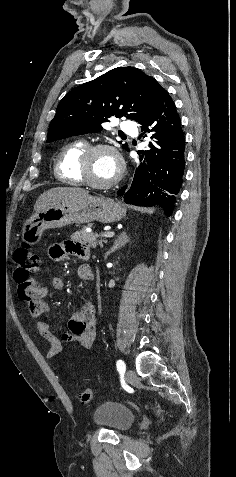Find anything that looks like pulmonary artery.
<instances>
[{"label":"pulmonary artery","mask_w":236,"mask_h":477,"mask_svg":"<svg viewBox=\"0 0 236 477\" xmlns=\"http://www.w3.org/2000/svg\"><path fill=\"white\" fill-rule=\"evenodd\" d=\"M120 129L127 134H135L136 128L134 124L130 121H124L120 124Z\"/></svg>","instance_id":"pulmonary-artery-1"}]
</instances>
